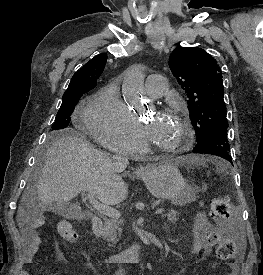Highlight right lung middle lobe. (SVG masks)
Masks as SVG:
<instances>
[{"label": "right lung middle lobe", "mask_w": 263, "mask_h": 275, "mask_svg": "<svg viewBox=\"0 0 263 275\" xmlns=\"http://www.w3.org/2000/svg\"><path fill=\"white\" fill-rule=\"evenodd\" d=\"M86 92H88V89L76 90L63 95L62 104L56 115L52 129H64L69 125L71 119L70 116L73 113L79 98Z\"/></svg>", "instance_id": "obj_1"}]
</instances>
